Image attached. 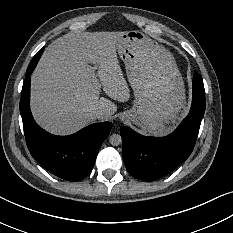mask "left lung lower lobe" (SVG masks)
<instances>
[{"mask_svg":"<svg viewBox=\"0 0 233 233\" xmlns=\"http://www.w3.org/2000/svg\"><path fill=\"white\" fill-rule=\"evenodd\" d=\"M205 106L203 79L195 72L190 112L173 133L155 138L142 136L126 126L121 127L123 160L127 171L137 179L154 181L176 169L195 146Z\"/></svg>","mask_w":233,"mask_h":233,"instance_id":"0a47b994","label":"left lung lower lobe"}]
</instances>
